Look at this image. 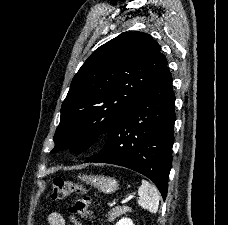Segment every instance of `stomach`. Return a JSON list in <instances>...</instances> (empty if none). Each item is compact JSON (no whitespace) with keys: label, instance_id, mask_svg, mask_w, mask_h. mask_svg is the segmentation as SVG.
Returning <instances> with one entry per match:
<instances>
[{"label":"stomach","instance_id":"1","mask_svg":"<svg viewBox=\"0 0 228 225\" xmlns=\"http://www.w3.org/2000/svg\"><path fill=\"white\" fill-rule=\"evenodd\" d=\"M79 179L83 183H86V185H92V187H95L101 193H106V195H111V193H115L119 189L118 181L114 177H104V175L88 177V175H83Z\"/></svg>","mask_w":228,"mask_h":225}]
</instances>
